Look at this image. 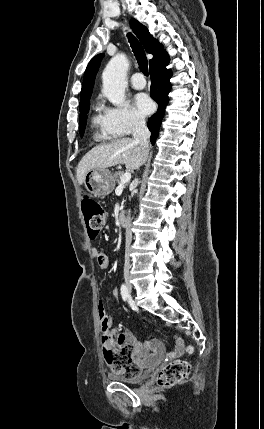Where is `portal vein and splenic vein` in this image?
<instances>
[{
	"label": "portal vein and splenic vein",
	"mask_w": 264,
	"mask_h": 429,
	"mask_svg": "<svg viewBox=\"0 0 264 429\" xmlns=\"http://www.w3.org/2000/svg\"><path fill=\"white\" fill-rule=\"evenodd\" d=\"M131 179V173L130 172H125L122 176H121V180H120V186H123L125 183L129 182Z\"/></svg>",
	"instance_id": "portal-vein-and-splenic-vein-1"
}]
</instances>
